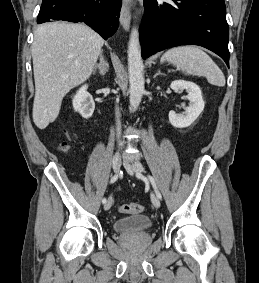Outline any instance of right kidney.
<instances>
[{
    "label": "right kidney",
    "instance_id": "right-kidney-1",
    "mask_svg": "<svg viewBox=\"0 0 259 283\" xmlns=\"http://www.w3.org/2000/svg\"><path fill=\"white\" fill-rule=\"evenodd\" d=\"M87 85H83L73 98V108L79 114L88 119L93 115L95 109V103L92 95L87 92Z\"/></svg>",
    "mask_w": 259,
    "mask_h": 283
}]
</instances>
